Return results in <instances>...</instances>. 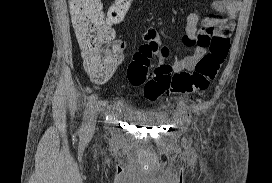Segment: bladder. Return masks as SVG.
Returning <instances> with one entry per match:
<instances>
[{
	"label": "bladder",
	"instance_id": "bladder-1",
	"mask_svg": "<svg viewBox=\"0 0 272 183\" xmlns=\"http://www.w3.org/2000/svg\"><path fill=\"white\" fill-rule=\"evenodd\" d=\"M138 123L140 124H145V125H153L156 122H158V120L156 119H151V118H141V119H137Z\"/></svg>",
	"mask_w": 272,
	"mask_h": 183
}]
</instances>
